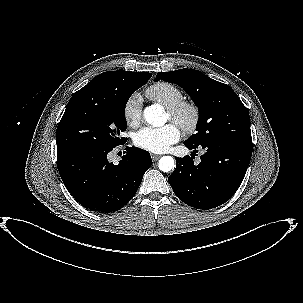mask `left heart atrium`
<instances>
[{
  "label": "left heart atrium",
  "mask_w": 303,
  "mask_h": 303,
  "mask_svg": "<svg viewBox=\"0 0 303 303\" xmlns=\"http://www.w3.org/2000/svg\"><path fill=\"white\" fill-rule=\"evenodd\" d=\"M181 133L175 123L153 128L144 127L140 129L133 138L134 144L144 150L163 153L180 139Z\"/></svg>",
  "instance_id": "obj_1"
}]
</instances>
